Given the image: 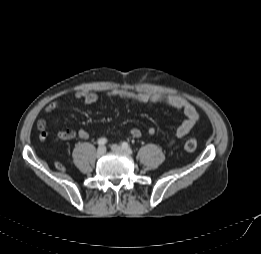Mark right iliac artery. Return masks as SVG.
I'll list each match as a JSON object with an SVG mask.
<instances>
[{
	"mask_svg": "<svg viewBox=\"0 0 261 254\" xmlns=\"http://www.w3.org/2000/svg\"><path fill=\"white\" fill-rule=\"evenodd\" d=\"M97 143H98L99 146H103L107 143V139L106 138H100Z\"/></svg>",
	"mask_w": 261,
	"mask_h": 254,
	"instance_id": "82829eb1",
	"label": "right iliac artery"
}]
</instances>
